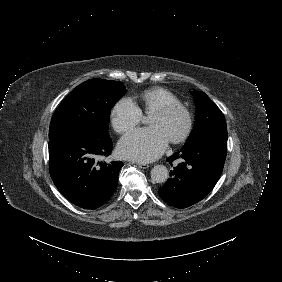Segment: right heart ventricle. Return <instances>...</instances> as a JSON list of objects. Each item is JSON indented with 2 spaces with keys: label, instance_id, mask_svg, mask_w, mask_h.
<instances>
[{
  "label": "right heart ventricle",
  "instance_id": "obj_1",
  "mask_svg": "<svg viewBox=\"0 0 282 282\" xmlns=\"http://www.w3.org/2000/svg\"><path fill=\"white\" fill-rule=\"evenodd\" d=\"M131 102L145 114H151L165 104H179L178 99L172 93L162 88L147 90L139 98L132 99Z\"/></svg>",
  "mask_w": 282,
  "mask_h": 282
}]
</instances>
